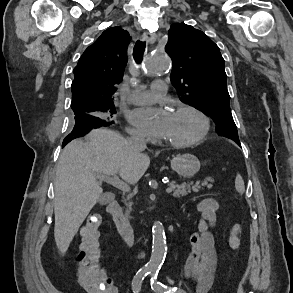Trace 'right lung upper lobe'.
Returning <instances> with one entry per match:
<instances>
[{
    "instance_id": "right-lung-upper-lobe-1",
    "label": "right lung upper lobe",
    "mask_w": 293,
    "mask_h": 293,
    "mask_svg": "<svg viewBox=\"0 0 293 293\" xmlns=\"http://www.w3.org/2000/svg\"><path fill=\"white\" fill-rule=\"evenodd\" d=\"M131 40L120 27L106 29L80 57L74 69L71 108L76 115L96 116L93 106L113 103L116 85L123 79L126 49Z\"/></svg>"
}]
</instances>
